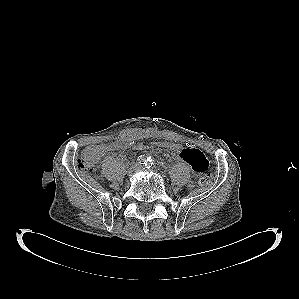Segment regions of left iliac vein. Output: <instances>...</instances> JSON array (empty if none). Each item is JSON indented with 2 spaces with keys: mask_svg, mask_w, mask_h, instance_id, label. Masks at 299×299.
<instances>
[{
  "mask_svg": "<svg viewBox=\"0 0 299 299\" xmlns=\"http://www.w3.org/2000/svg\"><path fill=\"white\" fill-rule=\"evenodd\" d=\"M138 169H139V170H142V169H144V168H143V166H138Z\"/></svg>",
  "mask_w": 299,
  "mask_h": 299,
  "instance_id": "left-iliac-vein-1",
  "label": "left iliac vein"
}]
</instances>
